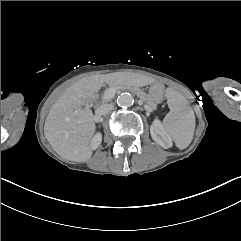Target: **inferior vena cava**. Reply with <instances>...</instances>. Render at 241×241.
I'll use <instances>...</instances> for the list:
<instances>
[{"instance_id": "1", "label": "inferior vena cava", "mask_w": 241, "mask_h": 241, "mask_svg": "<svg viewBox=\"0 0 241 241\" xmlns=\"http://www.w3.org/2000/svg\"><path fill=\"white\" fill-rule=\"evenodd\" d=\"M113 108L112 104H103L96 110V116H95V121L99 122L101 120L102 115H106L109 113Z\"/></svg>"}]
</instances>
